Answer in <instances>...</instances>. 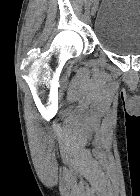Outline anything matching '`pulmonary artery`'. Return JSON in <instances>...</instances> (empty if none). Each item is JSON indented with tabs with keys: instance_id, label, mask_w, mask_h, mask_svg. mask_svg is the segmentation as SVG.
Wrapping results in <instances>:
<instances>
[{
	"instance_id": "e3ab8cb5",
	"label": "pulmonary artery",
	"mask_w": 140,
	"mask_h": 196,
	"mask_svg": "<svg viewBox=\"0 0 140 196\" xmlns=\"http://www.w3.org/2000/svg\"><path fill=\"white\" fill-rule=\"evenodd\" d=\"M61 192H83V191H61Z\"/></svg>"
}]
</instances>
